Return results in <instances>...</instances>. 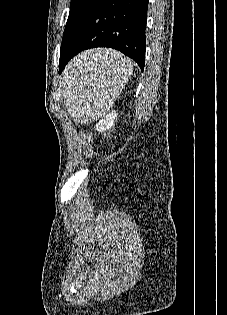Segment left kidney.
<instances>
[{"mask_svg": "<svg viewBox=\"0 0 227 315\" xmlns=\"http://www.w3.org/2000/svg\"><path fill=\"white\" fill-rule=\"evenodd\" d=\"M117 116L118 114L116 111L108 113L103 119L99 120V122L95 125V129L99 132L109 130L113 126Z\"/></svg>", "mask_w": 227, "mask_h": 315, "instance_id": "5707ae66", "label": "left kidney"}]
</instances>
